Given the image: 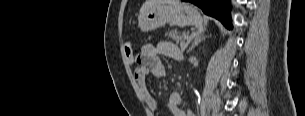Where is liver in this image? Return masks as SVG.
Masks as SVG:
<instances>
[{
  "label": "liver",
  "mask_w": 305,
  "mask_h": 116,
  "mask_svg": "<svg viewBox=\"0 0 305 116\" xmlns=\"http://www.w3.org/2000/svg\"><path fill=\"white\" fill-rule=\"evenodd\" d=\"M174 2H178V0H146L145 3L140 8V15L143 14L152 5L163 4V3H174Z\"/></svg>",
  "instance_id": "liver-1"
}]
</instances>
